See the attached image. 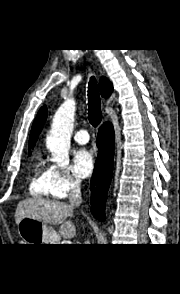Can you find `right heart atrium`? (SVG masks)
Returning <instances> with one entry per match:
<instances>
[{"instance_id":"obj_1","label":"right heart atrium","mask_w":180,"mask_h":294,"mask_svg":"<svg viewBox=\"0 0 180 294\" xmlns=\"http://www.w3.org/2000/svg\"><path fill=\"white\" fill-rule=\"evenodd\" d=\"M50 192L54 198H65L70 192L80 187V180L75 177L68 167L51 165Z\"/></svg>"}]
</instances>
